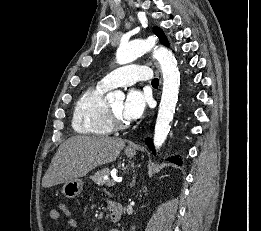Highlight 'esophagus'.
Instances as JSON below:
<instances>
[{"mask_svg":"<svg viewBox=\"0 0 261 231\" xmlns=\"http://www.w3.org/2000/svg\"><path fill=\"white\" fill-rule=\"evenodd\" d=\"M155 65L157 66V68H158V65H157V63L155 62Z\"/></svg>","mask_w":261,"mask_h":231,"instance_id":"esophagus-1","label":"esophagus"}]
</instances>
